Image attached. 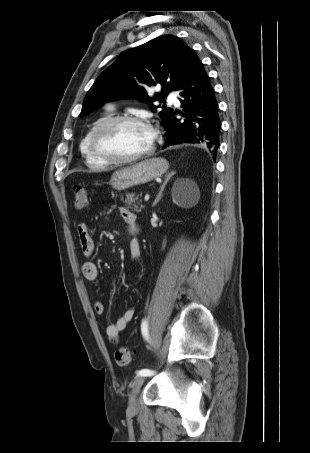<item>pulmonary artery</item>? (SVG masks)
Listing matches in <instances>:
<instances>
[{"label":"pulmonary artery","instance_id":"e3ab8cb5","mask_svg":"<svg viewBox=\"0 0 310 453\" xmlns=\"http://www.w3.org/2000/svg\"><path fill=\"white\" fill-rule=\"evenodd\" d=\"M167 99H168L169 101H171V102H174V103L178 104V100H177V98H176V95H175L173 92H171V93H169V94L167 95Z\"/></svg>","mask_w":310,"mask_h":453}]
</instances>
